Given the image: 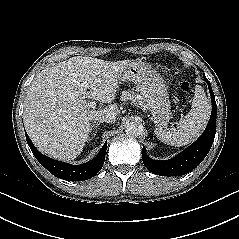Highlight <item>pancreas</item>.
Here are the masks:
<instances>
[{
    "label": "pancreas",
    "mask_w": 239,
    "mask_h": 239,
    "mask_svg": "<svg viewBox=\"0 0 239 239\" xmlns=\"http://www.w3.org/2000/svg\"><path fill=\"white\" fill-rule=\"evenodd\" d=\"M130 100L132 103L142 105V98L133 91H123L121 101Z\"/></svg>",
    "instance_id": "1"
}]
</instances>
